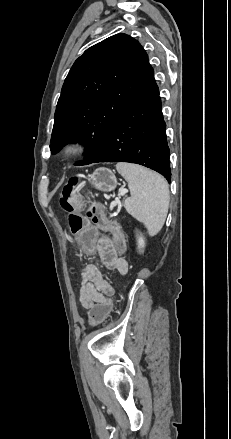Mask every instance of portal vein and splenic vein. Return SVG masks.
<instances>
[{"label": "portal vein and splenic vein", "mask_w": 231, "mask_h": 439, "mask_svg": "<svg viewBox=\"0 0 231 439\" xmlns=\"http://www.w3.org/2000/svg\"><path fill=\"white\" fill-rule=\"evenodd\" d=\"M120 194L123 196L125 194V192H121Z\"/></svg>", "instance_id": "1"}]
</instances>
